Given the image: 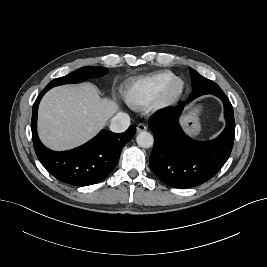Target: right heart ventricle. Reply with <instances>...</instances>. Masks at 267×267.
I'll return each instance as SVG.
<instances>
[{
  "instance_id": "right-heart-ventricle-1",
  "label": "right heart ventricle",
  "mask_w": 267,
  "mask_h": 267,
  "mask_svg": "<svg viewBox=\"0 0 267 267\" xmlns=\"http://www.w3.org/2000/svg\"><path fill=\"white\" fill-rule=\"evenodd\" d=\"M174 77L175 74L168 70L139 77L124 90V99L134 108L147 106L157 99L166 83Z\"/></svg>"
}]
</instances>
